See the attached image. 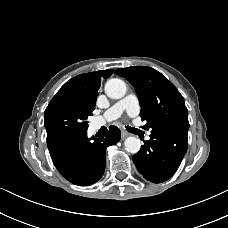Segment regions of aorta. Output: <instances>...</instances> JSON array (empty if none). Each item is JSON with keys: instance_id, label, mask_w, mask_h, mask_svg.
Wrapping results in <instances>:
<instances>
[{"instance_id": "762f6f07", "label": "aorta", "mask_w": 228, "mask_h": 228, "mask_svg": "<svg viewBox=\"0 0 228 228\" xmlns=\"http://www.w3.org/2000/svg\"><path fill=\"white\" fill-rule=\"evenodd\" d=\"M126 84L123 80L112 78L105 84V92L108 97L112 99H120L126 94ZM125 148L128 152L136 154L141 148L140 140L136 137L130 136L124 142Z\"/></svg>"}]
</instances>
